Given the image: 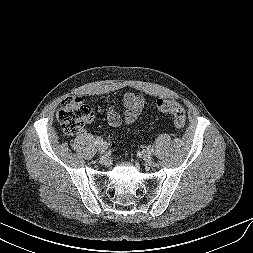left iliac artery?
Masks as SVG:
<instances>
[{"mask_svg": "<svg viewBox=\"0 0 253 253\" xmlns=\"http://www.w3.org/2000/svg\"><path fill=\"white\" fill-rule=\"evenodd\" d=\"M147 150H148L149 152H154V149H153V147H151V146H149V147L147 148Z\"/></svg>", "mask_w": 253, "mask_h": 253, "instance_id": "44dca946", "label": "left iliac artery"}]
</instances>
